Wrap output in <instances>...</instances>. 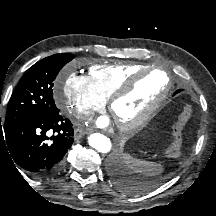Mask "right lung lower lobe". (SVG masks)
I'll return each instance as SVG.
<instances>
[{"instance_id": "right-lung-lower-lobe-1", "label": "right lung lower lobe", "mask_w": 216, "mask_h": 216, "mask_svg": "<svg viewBox=\"0 0 216 216\" xmlns=\"http://www.w3.org/2000/svg\"><path fill=\"white\" fill-rule=\"evenodd\" d=\"M72 123L59 113L38 115L0 126V150L37 178L58 174L73 143Z\"/></svg>"}]
</instances>
